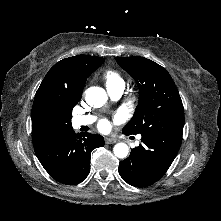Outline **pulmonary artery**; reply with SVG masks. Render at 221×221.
<instances>
[{"mask_svg": "<svg viewBox=\"0 0 221 221\" xmlns=\"http://www.w3.org/2000/svg\"><path fill=\"white\" fill-rule=\"evenodd\" d=\"M124 85H116V86H112V87H108L107 91L109 96L113 99V100H118L123 92H124ZM95 116L92 115H84V116H76L73 119V124L76 127H80V126H84V125H90L95 121Z\"/></svg>", "mask_w": 221, "mask_h": 221, "instance_id": "obj_1", "label": "pulmonary artery"}]
</instances>
